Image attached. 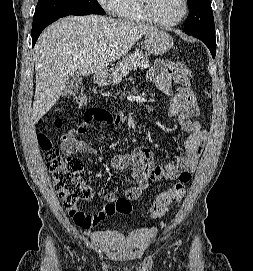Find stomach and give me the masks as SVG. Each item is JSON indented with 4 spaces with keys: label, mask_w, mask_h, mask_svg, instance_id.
<instances>
[{
    "label": "stomach",
    "mask_w": 253,
    "mask_h": 271,
    "mask_svg": "<svg viewBox=\"0 0 253 271\" xmlns=\"http://www.w3.org/2000/svg\"><path fill=\"white\" fill-rule=\"evenodd\" d=\"M145 49L154 55H163L173 47L172 37L165 31L154 30L147 32L144 39ZM99 83L113 82V74L106 71L97 76Z\"/></svg>",
    "instance_id": "stomach-1"
}]
</instances>
